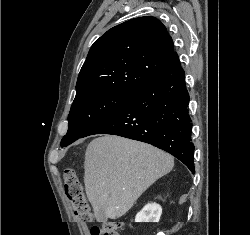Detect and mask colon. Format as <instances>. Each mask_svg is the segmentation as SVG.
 Segmentation results:
<instances>
[{"instance_id":"5ec220e1","label":"colon","mask_w":250,"mask_h":235,"mask_svg":"<svg viewBox=\"0 0 250 235\" xmlns=\"http://www.w3.org/2000/svg\"><path fill=\"white\" fill-rule=\"evenodd\" d=\"M65 194L71 204L75 217L86 224L94 221L89 204L83 192L78 173L73 168L63 172ZM121 224L117 221H105L91 227V235H120Z\"/></svg>"}]
</instances>
